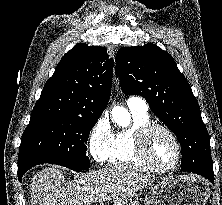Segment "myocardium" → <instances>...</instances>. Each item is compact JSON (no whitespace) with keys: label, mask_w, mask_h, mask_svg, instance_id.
<instances>
[{"label":"myocardium","mask_w":222,"mask_h":205,"mask_svg":"<svg viewBox=\"0 0 222 205\" xmlns=\"http://www.w3.org/2000/svg\"><path fill=\"white\" fill-rule=\"evenodd\" d=\"M154 130H162L172 139L175 144L177 155L174 163L170 166L164 167L157 164L149 154V151L147 149V138L149 134ZM135 140L138 155L146 164H148L154 170L164 173L170 172L179 166L182 159V147L179 139L168 126L157 122H148L139 127L136 132Z\"/></svg>","instance_id":"f54148a6"}]
</instances>
